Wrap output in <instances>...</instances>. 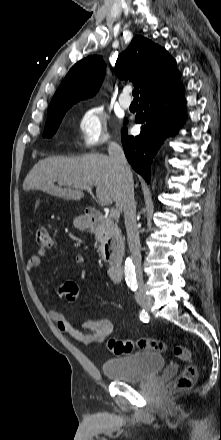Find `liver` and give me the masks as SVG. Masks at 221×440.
Instances as JSON below:
<instances>
[{
	"label": "liver",
	"instance_id": "liver-1",
	"mask_svg": "<svg viewBox=\"0 0 221 440\" xmlns=\"http://www.w3.org/2000/svg\"><path fill=\"white\" fill-rule=\"evenodd\" d=\"M65 185L60 188L55 182ZM95 186L96 197L101 206L120 203V183L109 157L90 153L82 157H49L40 160L26 176L24 191L40 190L64 199L80 200L84 197L81 187Z\"/></svg>",
	"mask_w": 221,
	"mask_h": 440
}]
</instances>
